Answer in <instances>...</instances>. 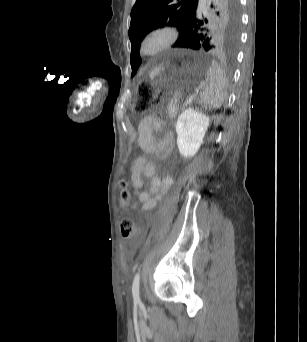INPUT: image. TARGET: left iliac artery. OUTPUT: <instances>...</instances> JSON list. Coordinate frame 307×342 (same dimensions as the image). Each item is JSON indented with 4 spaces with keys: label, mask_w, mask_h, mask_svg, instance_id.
<instances>
[{
    "label": "left iliac artery",
    "mask_w": 307,
    "mask_h": 342,
    "mask_svg": "<svg viewBox=\"0 0 307 342\" xmlns=\"http://www.w3.org/2000/svg\"><path fill=\"white\" fill-rule=\"evenodd\" d=\"M139 283H140V273L137 272L133 284H132V295L135 303H141L140 293H139Z\"/></svg>",
    "instance_id": "left-iliac-artery-1"
}]
</instances>
